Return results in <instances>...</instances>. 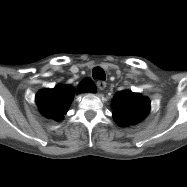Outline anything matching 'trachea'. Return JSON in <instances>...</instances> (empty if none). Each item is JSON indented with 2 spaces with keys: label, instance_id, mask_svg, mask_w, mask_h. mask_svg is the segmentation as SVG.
Segmentation results:
<instances>
[{
  "label": "trachea",
  "instance_id": "obj_1",
  "mask_svg": "<svg viewBox=\"0 0 187 187\" xmlns=\"http://www.w3.org/2000/svg\"><path fill=\"white\" fill-rule=\"evenodd\" d=\"M92 76L94 79H100V80L106 79L105 72L101 67H95L92 71Z\"/></svg>",
  "mask_w": 187,
  "mask_h": 187
}]
</instances>
